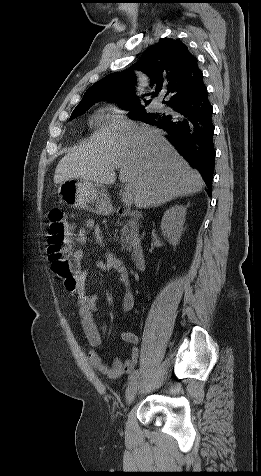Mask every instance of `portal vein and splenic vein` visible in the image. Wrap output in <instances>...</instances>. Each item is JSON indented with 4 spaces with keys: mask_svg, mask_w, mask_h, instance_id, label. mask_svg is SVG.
<instances>
[{
    "mask_svg": "<svg viewBox=\"0 0 261 476\" xmlns=\"http://www.w3.org/2000/svg\"><path fill=\"white\" fill-rule=\"evenodd\" d=\"M122 202L126 206H131V204L133 202V194L131 192V189L128 186H125V188H124V192L122 194Z\"/></svg>",
    "mask_w": 261,
    "mask_h": 476,
    "instance_id": "obj_1",
    "label": "portal vein and splenic vein"
}]
</instances>
